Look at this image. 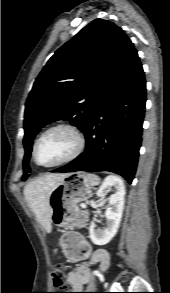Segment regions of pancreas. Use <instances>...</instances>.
Returning a JSON list of instances; mask_svg holds the SVG:
<instances>
[{
  "mask_svg": "<svg viewBox=\"0 0 170 293\" xmlns=\"http://www.w3.org/2000/svg\"><path fill=\"white\" fill-rule=\"evenodd\" d=\"M88 221V212L82 211L79 216L72 223V227L74 228H84L87 225Z\"/></svg>",
  "mask_w": 170,
  "mask_h": 293,
  "instance_id": "pancreas-1",
  "label": "pancreas"
}]
</instances>
